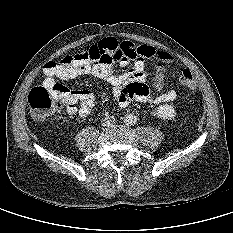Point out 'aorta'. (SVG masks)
Listing matches in <instances>:
<instances>
[{"label":"aorta","mask_w":233,"mask_h":233,"mask_svg":"<svg viewBox=\"0 0 233 233\" xmlns=\"http://www.w3.org/2000/svg\"><path fill=\"white\" fill-rule=\"evenodd\" d=\"M137 122V116L133 113L126 114L124 117V123L129 126L135 125Z\"/></svg>","instance_id":"1"}]
</instances>
